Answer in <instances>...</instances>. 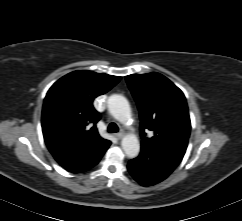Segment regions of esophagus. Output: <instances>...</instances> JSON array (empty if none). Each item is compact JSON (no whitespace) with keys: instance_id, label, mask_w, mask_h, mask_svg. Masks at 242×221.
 <instances>
[{"instance_id":"obj_1","label":"esophagus","mask_w":242,"mask_h":221,"mask_svg":"<svg viewBox=\"0 0 242 221\" xmlns=\"http://www.w3.org/2000/svg\"><path fill=\"white\" fill-rule=\"evenodd\" d=\"M123 136H124V132H119V133H116V134H115V137H116L117 139H122Z\"/></svg>"}]
</instances>
